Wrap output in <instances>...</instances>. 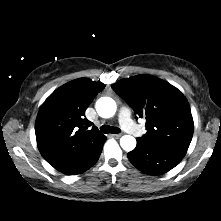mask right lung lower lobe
I'll list each match as a JSON object with an SVG mask.
<instances>
[{
    "label": "right lung lower lobe",
    "mask_w": 221,
    "mask_h": 221,
    "mask_svg": "<svg viewBox=\"0 0 221 221\" xmlns=\"http://www.w3.org/2000/svg\"><path fill=\"white\" fill-rule=\"evenodd\" d=\"M102 151V149H101ZM101 151L97 154V156L92 160L90 161L89 163H87L84 167H82L80 170H78L76 173H74L73 175L75 174H80V173H83L84 171L88 170L90 167H92L96 162L97 160L99 159V156L101 154Z\"/></svg>",
    "instance_id": "98d812e1"
}]
</instances>
